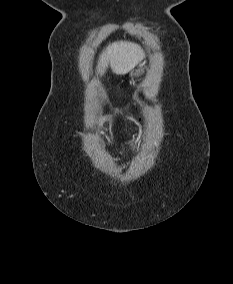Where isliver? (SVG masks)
Returning <instances> with one entry per match:
<instances>
[{"mask_svg":"<svg viewBox=\"0 0 233 284\" xmlns=\"http://www.w3.org/2000/svg\"><path fill=\"white\" fill-rule=\"evenodd\" d=\"M145 57L144 51L135 43L118 41L109 44L100 55L97 72L104 75L108 65L117 75L132 71Z\"/></svg>","mask_w":233,"mask_h":284,"instance_id":"obj_1","label":"liver"}]
</instances>
